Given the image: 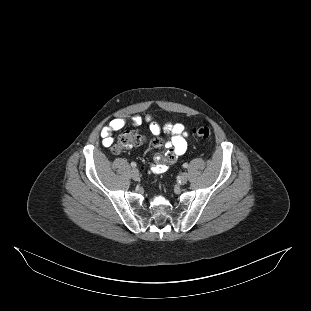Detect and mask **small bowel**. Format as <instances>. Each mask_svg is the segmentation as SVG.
I'll return each instance as SVG.
<instances>
[{
  "label": "small bowel",
  "mask_w": 311,
  "mask_h": 311,
  "mask_svg": "<svg viewBox=\"0 0 311 311\" xmlns=\"http://www.w3.org/2000/svg\"><path fill=\"white\" fill-rule=\"evenodd\" d=\"M149 122V129L154 135H158L161 131L170 134L167 139L165 154L156 155V164L153 165L152 171L154 173H162L166 170V165L164 163H174L179 156L183 155L187 149L186 137L188 136V131L185 129L182 123L168 122L163 127H161L156 122L146 118ZM134 125H140L142 123V118L140 116H134L132 118ZM126 125V121L123 118H115L111 120L101 131L100 135L102 138V144L105 147H110L113 143V133L121 130ZM156 146H161V142L156 141Z\"/></svg>",
  "instance_id": "1"
}]
</instances>
